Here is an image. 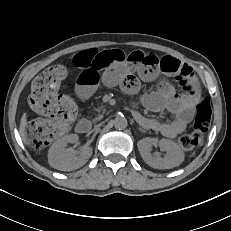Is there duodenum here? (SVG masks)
Segmentation results:
<instances>
[{"instance_id": "1", "label": "duodenum", "mask_w": 231, "mask_h": 231, "mask_svg": "<svg viewBox=\"0 0 231 231\" xmlns=\"http://www.w3.org/2000/svg\"><path fill=\"white\" fill-rule=\"evenodd\" d=\"M90 129L91 124L87 119H81L76 126V131L80 134H86Z\"/></svg>"}]
</instances>
